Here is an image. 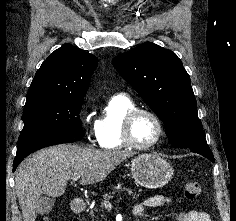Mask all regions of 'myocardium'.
I'll use <instances>...</instances> for the list:
<instances>
[{
    "label": "myocardium",
    "mask_w": 236,
    "mask_h": 221,
    "mask_svg": "<svg viewBox=\"0 0 236 221\" xmlns=\"http://www.w3.org/2000/svg\"><path fill=\"white\" fill-rule=\"evenodd\" d=\"M141 114H146V115H149L150 117H152L158 127L157 137L151 143L146 144V145H141V144H138L137 142H135V140L133 139V135H132V126H133L134 120ZM164 133H165L164 125H163L161 118L153 110L148 109V108L136 107V108L130 110L125 115L123 122H122L123 141L127 146H129L133 149L148 150V149L153 148L154 146H156L157 144L160 143V141L162 140V138L164 136Z\"/></svg>",
    "instance_id": "myocardium-1"
}]
</instances>
